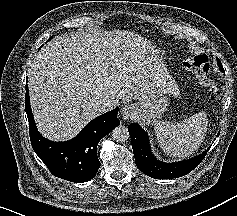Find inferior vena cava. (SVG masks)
I'll use <instances>...</instances> for the list:
<instances>
[{"mask_svg": "<svg viewBox=\"0 0 237 216\" xmlns=\"http://www.w3.org/2000/svg\"><path fill=\"white\" fill-rule=\"evenodd\" d=\"M100 105L103 111H107L119 105V102L109 98H103L100 101Z\"/></svg>", "mask_w": 237, "mask_h": 216, "instance_id": "1", "label": "inferior vena cava"}]
</instances>
